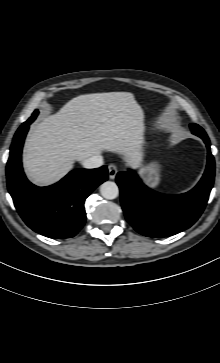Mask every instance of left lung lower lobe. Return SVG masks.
Here are the masks:
<instances>
[{"mask_svg":"<svg viewBox=\"0 0 220 363\" xmlns=\"http://www.w3.org/2000/svg\"><path fill=\"white\" fill-rule=\"evenodd\" d=\"M199 137L207 146L208 162L202 179L188 193L159 194L143 185L135 174H117L116 181L126 219L140 234L148 237L171 236L188 229L200 217L213 187L215 162L209 138L206 134H200Z\"/></svg>","mask_w":220,"mask_h":363,"instance_id":"obj_1","label":"left lung lower lobe"}]
</instances>
